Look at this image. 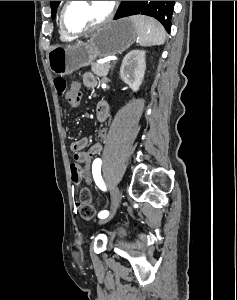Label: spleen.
Returning <instances> with one entry per match:
<instances>
[{
  "label": "spleen",
  "mask_w": 237,
  "mask_h": 300,
  "mask_svg": "<svg viewBox=\"0 0 237 300\" xmlns=\"http://www.w3.org/2000/svg\"><path fill=\"white\" fill-rule=\"evenodd\" d=\"M137 35L140 47H152V45H164L166 35L165 29L152 17H145V15H134L130 17Z\"/></svg>",
  "instance_id": "1"
}]
</instances>
